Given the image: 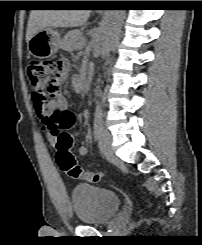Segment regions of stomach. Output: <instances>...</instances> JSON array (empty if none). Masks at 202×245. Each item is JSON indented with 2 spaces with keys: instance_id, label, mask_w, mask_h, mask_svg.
I'll return each instance as SVG.
<instances>
[{
  "instance_id": "stomach-1",
  "label": "stomach",
  "mask_w": 202,
  "mask_h": 245,
  "mask_svg": "<svg viewBox=\"0 0 202 245\" xmlns=\"http://www.w3.org/2000/svg\"><path fill=\"white\" fill-rule=\"evenodd\" d=\"M61 45L60 35L54 27H46L35 33L28 42L30 54L39 59L52 57Z\"/></svg>"
}]
</instances>
